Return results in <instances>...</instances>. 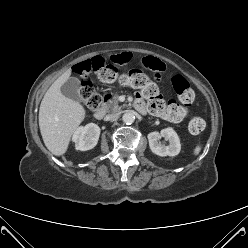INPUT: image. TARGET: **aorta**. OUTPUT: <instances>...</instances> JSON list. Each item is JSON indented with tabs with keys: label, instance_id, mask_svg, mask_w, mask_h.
<instances>
[{
	"label": "aorta",
	"instance_id": "obj_1",
	"mask_svg": "<svg viewBox=\"0 0 248 248\" xmlns=\"http://www.w3.org/2000/svg\"><path fill=\"white\" fill-rule=\"evenodd\" d=\"M122 120L126 124H132L135 120V116L132 112H126L123 114Z\"/></svg>",
	"mask_w": 248,
	"mask_h": 248
}]
</instances>
